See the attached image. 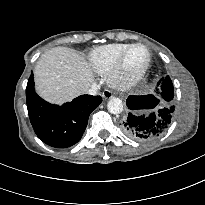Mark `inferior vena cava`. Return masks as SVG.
Wrapping results in <instances>:
<instances>
[{
    "mask_svg": "<svg viewBox=\"0 0 205 205\" xmlns=\"http://www.w3.org/2000/svg\"><path fill=\"white\" fill-rule=\"evenodd\" d=\"M99 85H97L95 82H93L89 88V90L87 91L88 94L90 95H96L98 90H99Z\"/></svg>",
    "mask_w": 205,
    "mask_h": 205,
    "instance_id": "inferior-vena-cava-1",
    "label": "inferior vena cava"
}]
</instances>
